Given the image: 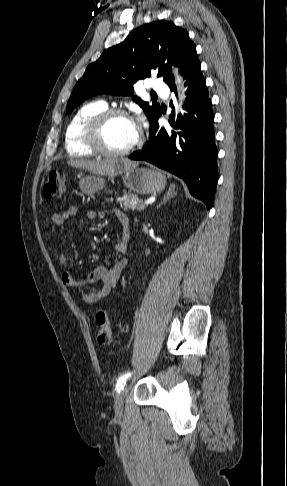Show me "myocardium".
Listing matches in <instances>:
<instances>
[{
    "instance_id": "f54148a6",
    "label": "myocardium",
    "mask_w": 287,
    "mask_h": 486,
    "mask_svg": "<svg viewBox=\"0 0 287 486\" xmlns=\"http://www.w3.org/2000/svg\"><path fill=\"white\" fill-rule=\"evenodd\" d=\"M117 117L126 118L132 121V118L127 111L121 108H107L91 117L86 123L84 128V142L95 154L106 157H121L128 155L138 146L140 142L138 133L135 141L124 149L111 150L104 145L102 140L103 130L112 119Z\"/></svg>"
}]
</instances>
